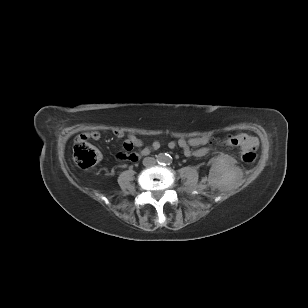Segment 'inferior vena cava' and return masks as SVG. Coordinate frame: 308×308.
Wrapping results in <instances>:
<instances>
[{"label": "inferior vena cava", "mask_w": 308, "mask_h": 308, "mask_svg": "<svg viewBox=\"0 0 308 308\" xmlns=\"http://www.w3.org/2000/svg\"><path fill=\"white\" fill-rule=\"evenodd\" d=\"M152 161H153V163H155V159H153Z\"/></svg>", "instance_id": "inferior-vena-cava-1"}]
</instances>
